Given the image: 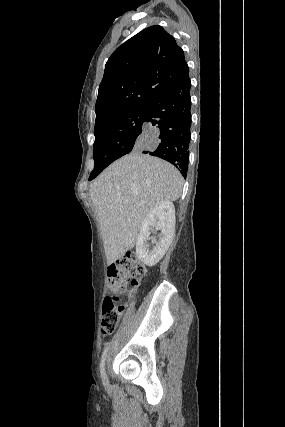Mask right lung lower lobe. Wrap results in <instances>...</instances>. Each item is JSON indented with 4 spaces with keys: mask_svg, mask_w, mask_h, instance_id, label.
<instances>
[{
    "mask_svg": "<svg viewBox=\"0 0 285 427\" xmlns=\"http://www.w3.org/2000/svg\"><path fill=\"white\" fill-rule=\"evenodd\" d=\"M190 88V78L187 76L147 104L141 143L136 147L142 153L172 163L184 178L188 170L191 140Z\"/></svg>",
    "mask_w": 285,
    "mask_h": 427,
    "instance_id": "right-lung-lower-lobe-1",
    "label": "right lung lower lobe"
}]
</instances>
